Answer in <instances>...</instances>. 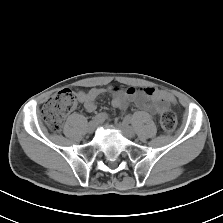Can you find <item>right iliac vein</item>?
I'll use <instances>...</instances> for the list:
<instances>
[{"label": "right iliac vein", "instance_id": "63e3f726", "mask_svg": "<svg viewBox=\"0 0 223 223\" xmlns=\"http://www.w3.org/2000/svg\"><path fill=\"white\" fill-rule=\"evenodd\" d=\"M96 126H97L96 121L89 122V124L87 125V128H86L87 132L90 134L93 133L96 129Z\"/></svg>", "mask_w": 223, "mask_h": 223}]
</instances>
